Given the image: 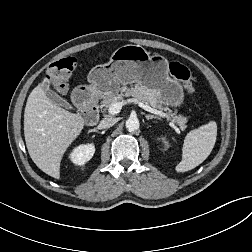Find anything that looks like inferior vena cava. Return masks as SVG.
<instances>
[{
    "label": "inferior vena cava",
    "instance_id": "inferior-vena-cava-1",
    "mask_svg": "<svg viewBox=\"0 0 252 252\" xmlns=\"http://www.w3.org/2000/svg\"><path fill=\"white\" fill-rule=\"evenodd\" d=\"M116 123V120L114 118H103L100 123V128H109L112 127Z\"/></svg>",
    "mask_w": 252,
    "mask_h": 252
}]
</instances>
